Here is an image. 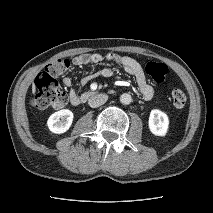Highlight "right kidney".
<instances>
[{"instance_id": "ca27d5eb", "label": "right kidney", "mask_w": 213, "mask_h": 213, "mask_svg": "<svg viewBox=\"0 0 213 213\" xmlns=\"http://www.w3.org/2000/svg\"><path fill=\"white\" fill-rule=\"evenodd\" d=\"M73 112L68 109H62L53 113L48 121L47 126L49 130L55 134H62L66 132L73 122Z\"/></svg>"}]
</instances>
